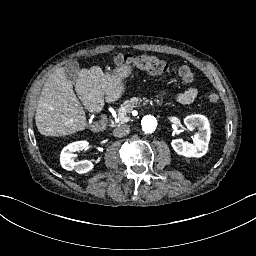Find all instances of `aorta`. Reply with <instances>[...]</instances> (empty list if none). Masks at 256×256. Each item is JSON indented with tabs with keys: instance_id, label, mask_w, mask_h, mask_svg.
Masks as SVG:
<instances>
[{
	"instance_id": "762f6f07",
	"label": "aorta",
	"mask_w": 256,
	"mask_h": 256,
	"mask_svg": "<svg viewBox=\"0 0 256 256\" xmlns=\"http://www.w3.org/2000/svg\"><path fill=\"white\" fill-rule=\"evenodd\" d=\"M157 127V120L153 116H145L141 120V128L145 132H152Z\"/></svg>"
}]
</instances>
